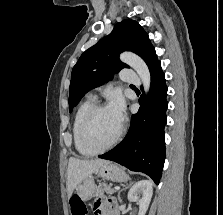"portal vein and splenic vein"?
Wrapping results in <instances>:
<instances>
[{
	"label": "portal vein and splenic vein",
	"instance_id": "18ae733b",
	"mask_svg": "<svg viewBox=\"0 0 223 215\" xmlns=\"http://www.w3.org/2000/svg\"><path fill=\"white\" fill-rule=\"evenodd\" d=\"M113 188H115L116 190H120L122 187H121L120 185H116V186L113 187Z\"/></svg>",
	"mask_w": 223,
	"mask_h": 215
}]
</instances>
